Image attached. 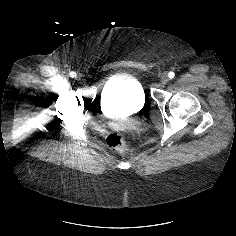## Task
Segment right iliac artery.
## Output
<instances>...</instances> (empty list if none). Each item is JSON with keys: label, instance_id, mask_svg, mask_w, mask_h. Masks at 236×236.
<instances>
[{"label": "right iliac artery", "instance_id": "right-iliac-artery-1", "mask_svg": "<svg viewBox=\"0 0 236 236\" xmlns=\"http://www.w3.org/2000/svg\"><path fill=\"white\" fill-rule=\"evenodd\" d=\"M69 75H70V77H72V78L76 77V73H75L74 71L70 72Z\"/></svg>", "mask_w": 236, "mask_h": 236}]
</instances>
